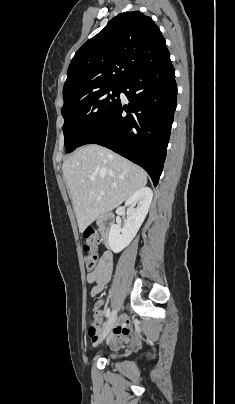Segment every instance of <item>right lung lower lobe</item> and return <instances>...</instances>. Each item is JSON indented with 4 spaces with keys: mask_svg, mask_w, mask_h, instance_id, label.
<instances>
[{
    "mask_svg": "<svg viewBox=\"0 0 235 404\" xmlns=\"http://www.w3.org/2000/svg\"><path fill=\"white\" fill-rule=\"evenodd\" d=\"M121 92L129 99V106L120 101L80 146L94 143L112 149L144 168L156 186L177 104L170 55L130 76Z\"/></svg>",
    "mask_w": 235,
    "mask_h": 404,
    "instance_id": "right-lung-lower-lobe-1",
    "label": "right lung lower lobe"
}]
</instances>
